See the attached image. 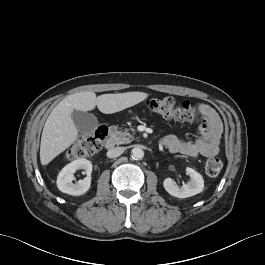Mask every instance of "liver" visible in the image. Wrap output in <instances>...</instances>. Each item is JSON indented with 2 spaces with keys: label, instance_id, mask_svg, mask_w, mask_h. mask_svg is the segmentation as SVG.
Listing matches in <instances>:
<instances>
[{
  "label": "liver",
  "instance_id": "1",
  "mask_svg": "<svg viewBox=\"0 0 265 265\" xmlns=\"http://www.w3.org/2000/svg\"><path fill=\"white\" fill-rule=\"evenodd\" d=\"M147 97V93L138 91L98 97L94 92L67 96L56 105L45 122L40 144L41 164L47 165L77 140L78 130L71 117L74 110L87 112L97 106L102 113L111 114L132 107Z\"/></svg>",
  "mask_w": 265,
  "mask_h": 265
}]
</instances>
